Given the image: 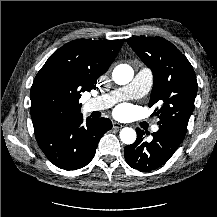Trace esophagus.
Here are the masks:
<instances>
[{
    "label": "esophagus",
    "mask_w": 217,
    "mask_h": 217,
    "mask_svg": "<svg viewBox=\"0 0 217 217\" xmlns=\"http://www.w3.org/2000/svg\"><path fill=\"white\" fill-rule=\"evenodd\" d=\"M122 127H123L122 124H120V123H118V122H113V128H114V129H120V128H122Z\"/></svg>",
    "instance_id": "34e87169"
}]
</instances>
